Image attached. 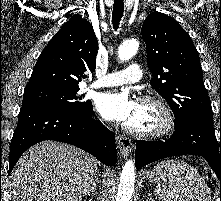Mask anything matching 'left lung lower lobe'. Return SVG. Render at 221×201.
<instances>
[{
	"instance_id": "1",
	"label": "left lung lower lobe",
	"mask_w": 221,
	"mask_h": 201,
	"mask_svg": "<svg viewBox=\"0 0 221 201\" xmlns=\"http://www.w3.org/2000/svg\"><path fill=\"white\" fill-rule=\"evenodd\" d=\"M199 155L207 160L221 180V144L213 131V120L192 119L181 126L168 140L141 141L136 146L137 168L151 162L178 155Z\"/></svg>"
}]
</instances>
